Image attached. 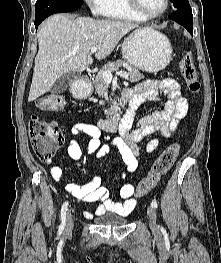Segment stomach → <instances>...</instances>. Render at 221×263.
Here are the masks:
<instances>
[{
	"instance_id": "obj_1",
	"label": "stomach",
	"mask_w": 221,
	"mask_h": 263,
	"mask_svg": "<svg viewBox=\"0 0 221 263\" xmlns=\"http://www.w3.org/2000/svg\"><path fill=\"white\" fill-rule=\"evenodd\" d=\"M122 55L127 63L146 72L165 69L172 59V46L162 33L135 30L122 44Z\"/></svg>"
}]
</instances>
